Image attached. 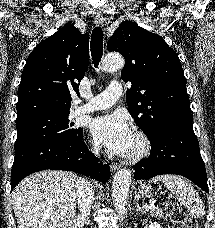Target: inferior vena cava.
<instances>
[{
	"mask_svg": "<svg viewBox=\"0 0 215 228\" xmlns=\"http://www.w3.org/2000/svg\"><path fill=\"white\" fill-rule=\"evenodd\" d=\"M94 154H96V156H99L98 150H94ZM75 188L81 216L83 220H86V218L90 216L91 204L94 200L92 184H89V182H86V180L80 178V180H77V182H75Z\"/></svg>",
	"mask_w": 215,
	"mask_h": 228,
	"instance_id": "obj_1",
	"label": "inferior vena cava"
}]
</instances>
